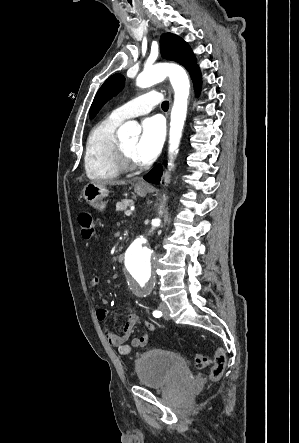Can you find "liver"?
<instances>
[{"label": "liver", "instance_id": "liver-1", "mask_svg": "<svg viewBox=\"0 0 299 443\" xmlns=\"http://www.w3.org/2000/svg\"><path fill=\"white\" fill-rule=\"evenodd\" d=\"M93 184L96 185H102V186H106V185H126V182L123 180H115V181H108V180H99V181H93L91 182Z\"/></svg>", "mask_w": 299, "mask_h": 443}]
</instances>
